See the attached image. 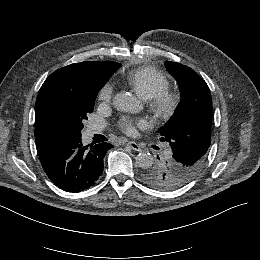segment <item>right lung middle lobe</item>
<instances>
[{"mask_svg": "<svg viewBox=\"0 0 260 260\" xmlns=\"http://www.w3.org/2000/svg\"><path fill=\"white\" fill-rule=\"evenodd\" d=\"M103 85L104 82L94 81L65 94L53 108L54 126L71 138L81 137L82 122L93 112L96 96Z\"/></svg>", "mask_w": 260, "mask_h": 260, "instance_id": "dd1d6c3e", "label": "right lung middle lobe"}]
</instances>
